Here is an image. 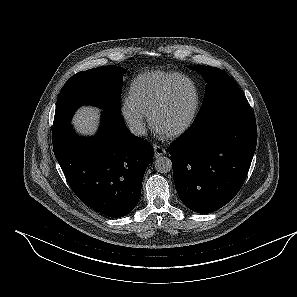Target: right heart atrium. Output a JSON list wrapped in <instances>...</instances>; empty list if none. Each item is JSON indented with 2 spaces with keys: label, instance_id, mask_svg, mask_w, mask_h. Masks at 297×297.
<instances>
[{
  "label": "right heart atrium",
  "instance_id": "1",
  "mask_svg": "<svg viewBox=\"0 0 297 297\" xmlns=\"http://www.w3.org/2000/svg\"><path fill=\"white\" fill-rule=\"evenodd\" d=\"M121 114L135 135L145 134L147 130L146 115L129 98H124L121 102Z\"/></svg>",
  "mask_w": 297,
  "mask_h": 297
}]
</instances>
